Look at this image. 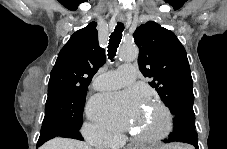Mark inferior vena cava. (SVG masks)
Here are the masks:
<instances>
[{"instance_id": "602c4592", "label": "inferior vena cava", "mask_w": 227, "mask_h": 149, "mask_svg": "<svg viewBox=\"0 0 227 149\" xmlns=\"http://www.w3.org/2000/svg\"><path fill=\"white\" fill-rule=\"evenodd\" d=\"M95 139H98V138H100V137H102V134L101 133H95Z\"/></svg>"}]
</instances>
